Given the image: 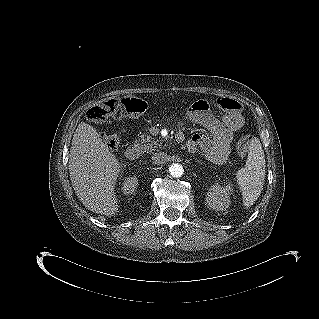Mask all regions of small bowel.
Masks as SVG:
<instances>
[{"label":"small bowel","mask_w":319,"mask_h":319,"mask_svg":"<svg viewBox=\"0 0 319 319\" xmlns=\"http://www.w3.org/2000/svg\"><path fill=\"white\" fill-rule=\"evenodd\" d=\"M243 125L244 120L239 113L227 114L222 120L210 117L205 126L210 131L211 137L196 133L189 139L188 148L191 151L200 148L211 160L222 163L227 160L231 152L233 132L240 130Z\"/></svg>","instance_id":"obj_1"}]
</instances>
